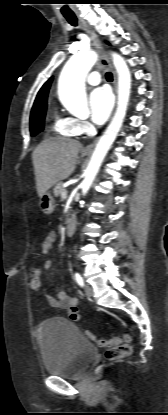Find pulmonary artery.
Here are the masks:
<instances>
[{
  "label": "pulmonary artery",
  "mask_w": 168,
  "mask_h": 415,
  "mask_svg": "<svg viewBox=\"0 0 168 415\" xmlns=\"http://www.w3.org/2000/svg\"><path fill=\"white\" fill-rule=\"evenodd\" d=\"M100 80H101L100 74L95 71V72H92L88 75V77L86 79V82L89 85L95 86V85H98L100 83Z\"/></svg>",
  "instance_id": "1"
}]
</instances>
